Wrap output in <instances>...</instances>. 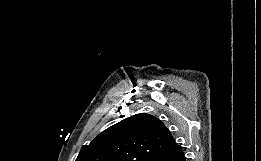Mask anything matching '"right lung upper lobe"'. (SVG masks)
I'll return each mask as SVG.
<instances>
[{
	"label": "right lung upper lobe",
	"instance_id": "1",
	"mask_svg": "<svg viewBox=\"0 0 261 161\" xmlns=\"http://www.w3.org/2000/svg\"><path fill=\"white\" fill-rule=\"evenodd\" d=\"M181 149L170 131L156 117L140 113L109 127L76 161H156Z\"/></svg>",
	"mask_w": 261,
	"mask_h": 161
}]
</instances>
